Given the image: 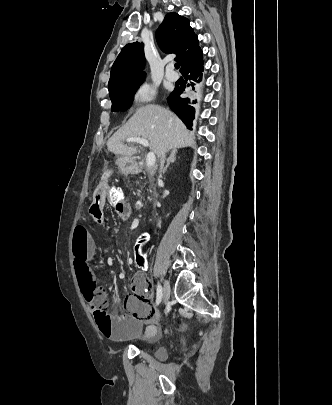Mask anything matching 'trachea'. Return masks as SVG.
Instances as JSON below:
<instances>
[{"label": "trachea", "instance_id": "trachea-1", "mask_svg": "<svg viewBox=\"0 0 332 405\" xmlns=\"http://www.w3.org/2000/svg\"><path fill=\"white\" fill-rule=\"evenodd\" d=\"M175 68H176V69H179V68H180V64H179V63H176V64H175Z\"/></svg>", "mask_w": 332, "mask_h": 405}]
</instances>
